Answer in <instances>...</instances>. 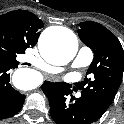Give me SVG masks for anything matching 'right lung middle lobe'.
I'll return each instance as SVG.
<instances>
[{"mask_svg": "<svg viewBox=\"0 0 124 124\" xmlns=\"http://www.w3.org/2000/svg\"><path fill=\"white\" fill-rule=\"evenodd\" d=\"M21 43L10 33L0 29V61L17 63L16 55L24 53Z\"/></svg>", "mask_w": 124, "mask_h": 124, "instance_id": "obj_1", "label": "right lung middle lobe"}]
</instances>
